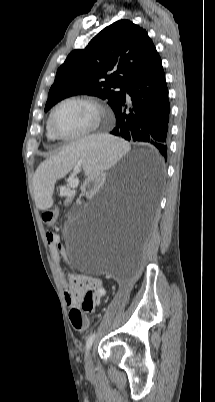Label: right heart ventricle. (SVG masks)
<instances>
[{"mask_svg": "<svg viewBox=\"0 0 215 402\" xmlns=\"http://www.w3.org/2000/svg\"><path fill=\"white\" fill-rule=\"evenodd\" d=\"M47 137L49 140H55L56 138L52 135V133L49 130L48 124H47Z\"/></svg>", "mask_w": 215, "mask_h": 402, "instance_id": "obj_1", "label": "right heart ventricle"}]
</instances>
